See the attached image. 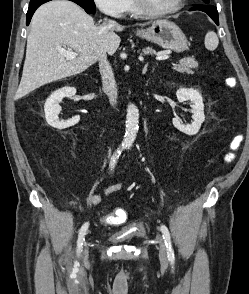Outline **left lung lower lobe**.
<instances>
[{
	"mask_svg": "<svg viewBox=\"0 0 249 294\" xmlns=\"http://www.w3.org/2000/svg\"><path fill=\"white\" fill-rule=\"evenodd\" d=\"M190 10H200L207 13L214 20V22L219 25L218 12L216 7L212 5H197L192 7Z\"/></svg>",
	"mask_w": 249,
	"mask_h": 294,
	"instance_id": "left-lung-lower-lobe-1",
	"label": "left lung lower lobe"
}]
</instances>
